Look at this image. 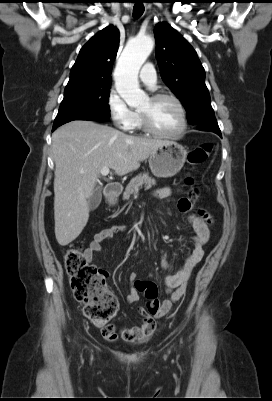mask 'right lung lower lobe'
<instances>
[{"label":"right lung lower lobe","mask_w":272,"mask_h":401,"mask_svg":"<svg viewBox=\"0 0 272 401\" xmlns=\"http://www.w3.org/2000/svg\"><path fill=\"white\" fill-rule=\"evenodd\" d=\"M80 120H89V119H80ZM91 121H96V120H91ZM59 126H53L52 131L56 130Z\"/></svg>","instance_id":"right-lung-lower-lobe-1"}]
</instances>
